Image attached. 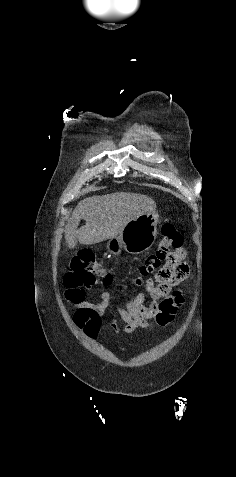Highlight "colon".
I'll list each match as a JSON object with an SVG mask.
<instances>
[{"instance_id": "1", "label": "colon", "mask_w": 236, "mask_h": 477, "mask_svg": "<svg viewBox=\"0 0 236 477\" xmlns=\"http://www.w3.org/2000/svg\"><path fill=\"white\" fill-rule=\"evenodd\" d=\"M162 239L157 251L149 256L139 267L140 276L132 282L133 287H139L143 278L155 273L157 286L164 293L171 291L173 282L182 276L184 266L183 233L172 223H165L161 229ZM113 276L102 263L97 255L89 250H81L72 260L71 268L64 277L67 293L74 301H82L87 290L97 283L105 286L111 285ZM121 286L122 292L126 291Z\"/></svg>"}]
</instances>
